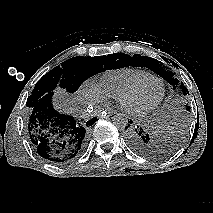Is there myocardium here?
Returning <instances> with one entry per match:
<instances>
[{
    "label": "myocardium",
    "instance_id": "1",
    "mask_svg": "<svg viewBox=\"0 0 213 213\" xmlns=\"http://www.w3.org/2000/svg\"><path fill=\"white\" fill-rule=\"evenodd\" d=\"M151 81H157L160 84L161 92L159 97L155 101L147 104L135 103V100L140 91L142 90V88ZM164 96H165L164 81L158 76L151 75L147 78L138 81L127 91H125L118 98V105L122 111H124L129 115L141 116L156 109L162 103Z\"/></svg>",
    "mask_w": 213,
    "mask_h": 213
}]
</instances>
